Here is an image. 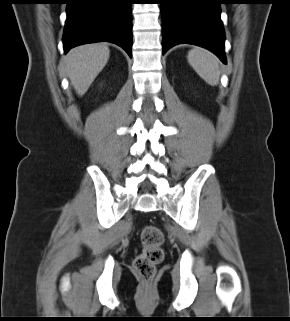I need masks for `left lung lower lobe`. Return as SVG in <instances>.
I'll return each mask as SVG.
<instances>
[{
  "label": "left lung lower lobe",
  "mask_w": 290,
  "mask_h": 321,
  "mask_svg": "<svg viewBox=\"0 0 290 321\" xmlns=\"http://www.w3.org/2000/svg\"><path fill=\"white\" fill-rule=\"evenodd\" d=\"M223 3V0H162V53L174 45L189 43L209 49L226 63L220 19Z\"/></svg>",
  "instance_id": "1"
}]
</instances>
